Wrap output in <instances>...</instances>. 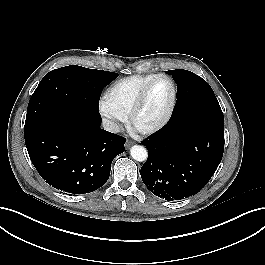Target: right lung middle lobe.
<instances>
[{
    "label": "right lung middle lobe",
    "instance_id": "dd1d6c3e",
    "mask_svg": "<svg viewBox=\"0 0 265 265\" xmlns=\"http://www.w3.org/2000/svg\"><path fill=\"white\" fill-rule=\"evenodd\" d=\"M116 77L117 73L78 65L50 71L29 101L24 129L50 118L65 107L98 112L103 87Z\"/></svg>",
    "mask_w": 265,
    "mask_h": 265
}]
</instances>
